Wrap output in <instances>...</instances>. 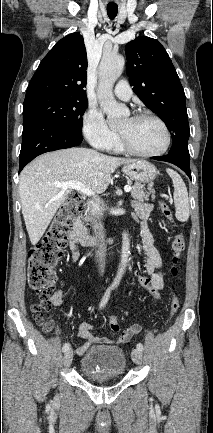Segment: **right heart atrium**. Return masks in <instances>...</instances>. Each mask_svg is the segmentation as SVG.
I'll return each instance as SVG.
<instances>
[{"label": "right heart atrium", "instance_id": "d8ad5b80", "mask_svg": "<svg viewBox=\"0 0 213 433\" xmlns=\"http://www.w3.org/2000/svg\"><path fill=\"white\" fill-rule=\"evenodd\" d=\"M82 131L89 143L97 149L108 150L117 139V135L106 124L102 114L95 109H88L83 116Z\"/></svg>", "mask_w": 213, "mask_h": 433}]
</instances>
